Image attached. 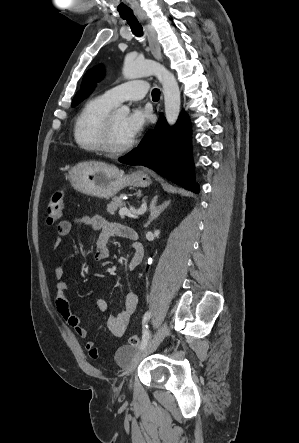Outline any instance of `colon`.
<instances>
[{"label":"colon","instance_id":"obj_1","mask_svg":"<svg viewBox=\"0 0 299 443\" xmlns=\"http://www.w3.org/2000/svg\"><path fill=\"white\" fill-rule=\"evenodd\" d=\"M64 200V191L62 188H57L50 196L47 208H46V218L47 223L52 225L56 223L62 215ZM141 339L137 335H133L129 339V347H124L120 349L117 353V359L119 362L124 363L128 356L130 355L132 349H137L141 346Z\"/></svg>","mask_w":299,"mask_h":443}]
</instances>
